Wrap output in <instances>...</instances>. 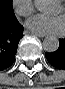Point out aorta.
I'll return each mask as SVG.
<instances>
[{"label":"aorta","mask_w":65,"mask_h":89,"mask_svg":"<svg viewBox=\"0 0 65 89\" xmlns=\"http://www.w3.org/2000/svg\"><path fill=\"white\" fill-rule=\"evenodd\" d=\"M49 0H36L35 8L41 12L48 11L50 7ZM59 48V40L55 36H46L43 40V49L47 52H55Z\"/></svg>","instance_id":"obj_1"}]
</instances>
